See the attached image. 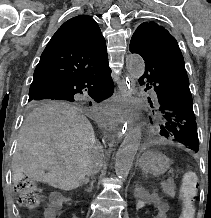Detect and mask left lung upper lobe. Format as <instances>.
Listing matches in <instances>:
<instances>
[{"label": "left lung upper lobe", "instance_id": "obj_1", "mask_svg": "<svg viewBox=\"0 0 211 218\" xmlns=\"http://www.w3.org/2000/svg\"><path fill=\"white\" fill-rule=\"evenodd\" d=\"M130 51L145 61V72L139 82L147 83V89L156 92L153 101L148 98V107L160 134L198 151L189 80L176 39L157 23L144 22L132 36Z\"/></svg>", "mask_w": 211, "mask_h": 218}]
</instances>
